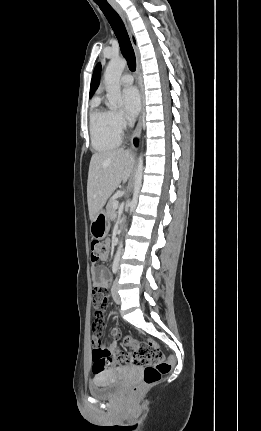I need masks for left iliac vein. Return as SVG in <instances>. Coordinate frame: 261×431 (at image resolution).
Listing matches in <instances>:
<instances>
[{"mask_svg":"<svg viewBox=\"0 0 261 431\" xmlns=\"http://www.w3.org/2000/svg\"><path fill=\"white\" fill-rule=\"evenodd\" d=\"M118 289H119V283H118V280L116 279L113 283L112 290H111L113 300L116 304L121 303V298H120V295L118 293Z\"/></svg>","mask_w":261,"mask_h":431,"instance_id":"left-iliac-vein-1","label":"left iliac vein"}]
</instances>
